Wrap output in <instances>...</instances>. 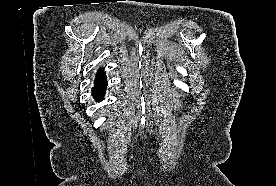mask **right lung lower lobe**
Masks as SVG:
<instances>
[{
	"label": "right lung lower lobe",
	"instance_id": "98d812e1",
	"mask_svg": "<svg viewBox=\"0 0 276 186\" xmlns=\"http://www.w3.org/2000/svg\"><path fill=\"white\" fill-rule=\"evenodd\" d=\"M107 80L106 78L103 79H96L94 88L92 89V93L94 97L101 101L104 97L105 90H106Z\"/></svg>",
	"mask_w": 276,
	"mask_h": 186
}]
</instances>
